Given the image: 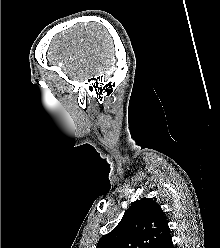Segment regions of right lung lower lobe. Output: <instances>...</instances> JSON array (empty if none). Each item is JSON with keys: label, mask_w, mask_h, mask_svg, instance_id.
I'll return each mask as SVG.
<instances>
[{"label": "right lung lower lobe", "mask_w": 220, "mask_h": 248, "mask_svg": "<svg viewBox=\"0 0 220 248\" xmlns=\"http://www.w3.org/2000/svg\"><path fill=\"white\" fill-rule=\"evenodd\" d=\"M160 248H173L171 236L166 239V241L163 243V245Z\"/></svg>", "instance_id": "obj_1"}]
</instances>
